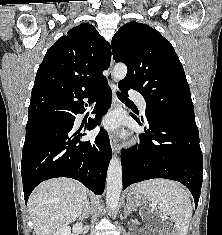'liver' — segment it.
<instances>
[{"instance_id":"liver-1","label":"liver","mask_w":222,"mask_h":235,"mask_svg":"<svg viewBox=\"0 0 222 235\" xmlns=\"http://www.w3.org/2000/svg\"><path fill=\"white\" fill-rule=\"evenodd\" d=\"M87 188L70 178L41 183L28 200V210L36 235H54L74 222L87 202Z\"/></svg>"}]
</instances>
